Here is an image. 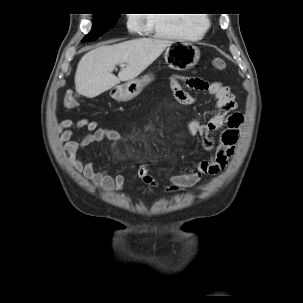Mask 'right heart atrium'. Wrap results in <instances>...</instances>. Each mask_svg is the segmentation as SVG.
Listing matches in <instances>:
<instances>
[{
    "instance_id": "1",
    "label": "right heart atrium",
    "mask_w": 303,
    "mask_h": 303,
    "mask_svg": "<svg viewBox=\"0 0 303 303\" xmlns=\"http://www.w3.org/2000/svg\"><path fill=\"white\" fill-rule=\"evenodd\" d=\"M127 25L130 30L136 31L143 26V15L142 14H131L127 20Z\"/></svg>"
}]
</instances>
